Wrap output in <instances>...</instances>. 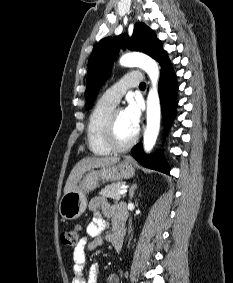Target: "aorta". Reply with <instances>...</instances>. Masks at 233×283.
I'll return each instance as SVG.
<instances>
[{"mask_svg":"<svg viewBox=\"0 0 233 283\" xmlns=\"http://www.w3.org/2000/svg\"><path fill=\"white\" fill-rule=\"evenodd\" d=\"M124 67H140L148 74L152 87L147 96V125L144 132L143 147L149 153L157 140L160 129V99L158 95L159 68L154 59L143 53H128L120 58Z\"/></svg>","mask_w":233,"mask_h":283,"instance_id":"762f6f07","label":"aorta"}]
</instances>
